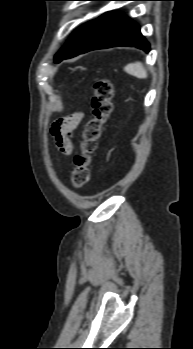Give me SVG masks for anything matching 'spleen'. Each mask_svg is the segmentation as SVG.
<instances>
[{
	"label": "spleen",
	"mask_w": 193,
	"mask_h": 349,
	"mask_svg": "<svg viewBox=\"0 0 193 349\" xmlns=\"http://www.w3.org/2000/svg\"><path fill=\"white\" fill-rule=\"evenodd\" d=\"M124 70L128 74L133 75V76L140 78V79H145L148 76L147 71L141 62H135V63L128 64L124 68Z\"/></svg>",
	"instance_id": "1"
}]
</instances>
